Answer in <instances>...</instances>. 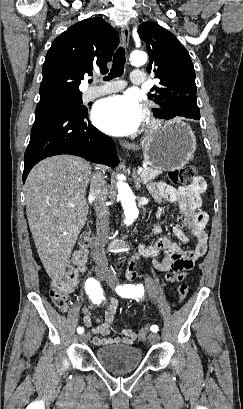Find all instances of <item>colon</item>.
Segmentation results:
<instances>
[{
    "instance_id": "obj_1",
    "label": "colon",
    "mask_w": 243,
    "mask_h": 409,
    "mask_svg": "<svg viewBox=\"0 0 243 409\" xmlns=\"http://www.w3.org/2000/svg\"><path fill=\"white\" fill-rule=\"evenodd\" d=\"M195 173L196 168L192 165H187L171 170L168 173V178L175 184H188L195 179ZM90 242L91 239L89 235L80 237L77 247L69 259L65 277L60 280H54L50 285L49 294L51 300L61 310L68 308L69 295L76 286L80 274L85 270ZM187 294L188 287L184 284L179 285L177 288L178 302H183ZM148 332L149 326L143 327L138 333L139 340H146Z\"/></svg>"
}]
</instances>
